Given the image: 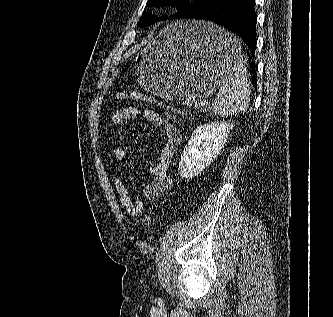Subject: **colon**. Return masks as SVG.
I'll list each match as a JSON object with an SVG mask.
<instances>
[{
	"instance_id": "1",
	"label": "colon",
	"mask_w": 333,
	"mask_h": 317,
	"mask_svg": "<svg viewBox=\"0 0 333 317\" xmlns=\"http://www.w3.org/2000/svg\"><path fill=\"white\" fill-rule=\"evenodd\" d=\"M115 98L118 100H123V99H134V100H138V101H142L145 103H148L154 107H158V108H163L166 110H170L173 111L177 114L180 115H184V112L175 108H172L170 106L165 105L164 103H162L161 101L147 95L144 94L142 92L136 91V90H124V91H120L117 92L115 95ZM142 225L145 229H150L152 226V218L150 215H146L143 219H142Z\"/></svg>"
}]
</instances>
